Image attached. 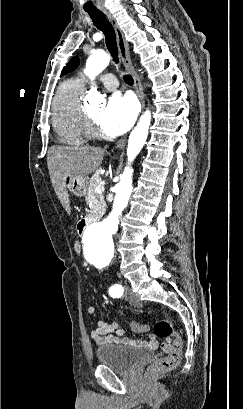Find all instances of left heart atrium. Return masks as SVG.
<instances>
[{"mask_svg": "<svg viewBox=\"0 0 243 409\" xmlns=\"http://www.w3.org/2000/svg\"><path fill=\"white\" fill-rule=\"evenodd\" d=\"M136 115L137 107L132 98L113 95L100 112L98 122L106 135L118 136L133 125Z\"/></svg>", "mask_w": 243, "mask_h": 409, "instance_id": "1", "label": "left heart atrium"}]
</instances>
